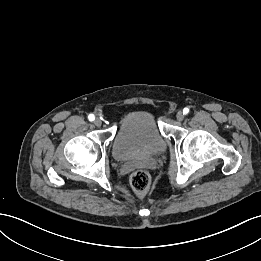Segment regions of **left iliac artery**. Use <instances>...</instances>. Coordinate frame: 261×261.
<instances>
[{"mask_svg":"<svg viewBox=\"0 0 261 261\" xmlns=\"http://www.w3.org/2000/svg\"><path fill=\"white\" fill-rule=\"evenodd\" d=\"M183 113H184V114H188V113H189V109H188V108H184V109H183Z\"/></svg>","mask_w":261,"mask_h":261,"instance_id":"44dca946","label":"left iliac artery"}]
</instances>
